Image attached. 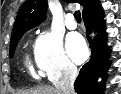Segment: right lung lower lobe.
<instances>
[{
    "label": "right lung lower lobe",
    "mask_w": 121,
    "mask_h": 94,
    "mask_svg": "<svg viewBox=\"0 0 121 94\" xmlns=\"http://www.w3.org/2000/svg\"><path fill=\"white\" fill-rule=\"evenodd\" d=\"M103 10L100 4L90 12L83 15L86 26V36L91 47V58L80 70L75 81L74 87L78 94H101V88L97 83L99 76H105L106 70L110 65L106 49L107 34L105 32V23L102 20ZM98 29L100 33L96 39H91V29ZM96 32V31H95ZM97 40H99L97 42Z\"/></svg>",
    "instance_id": "98d812e1"
}]
</instances>
